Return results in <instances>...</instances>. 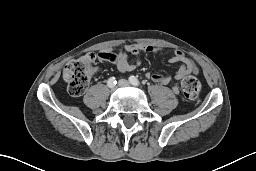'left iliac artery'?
<instances>
[{
    "label": "left iliac artery",
    "mask_w": 256,
    "mask_h": 171,
    "mask_svg": "<svg viewBox=\"0 0 256 171\" xmlns=\"http://www.w3.org/2000/svg\"><path fill=\"white\" fill-rule=\"evenodd\" d=\"M129 81L134 86H139L141 84L135 76H130Z\"/></svg>",
    "instance_id": "obj_1"
}]
</instances>
